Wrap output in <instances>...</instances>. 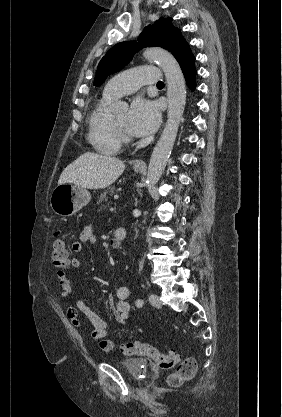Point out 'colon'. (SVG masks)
<instances>
[{
	"label": "colon",
	"instance_id": "5ec220e1",
	"mask_svg": "<svg viewBox=\"0 0 282 417\" xmlns=\"http://www.w3.org/2000/svg\"><path fill=\"white\" fill-rule=\"evenodd\" d=\"M51 257L56 267L66 268L71 261L66 249V244L62 233L57 231L52 238ZM104 353H113V344H104ZM122 354L124 356L144 357L150 359L158 368L170 369L179 362L180 354L175 347L169 348V353L158 350L155 346L147 342L127 343L122 346ZM198 364L194 357H187L186 361H182L178 369L167 377L170 386H180L184 381L194 377L197 372Z\"/></svg>",
	"mask_w": 282,
	"mask_h": 417
}]
</instances>
